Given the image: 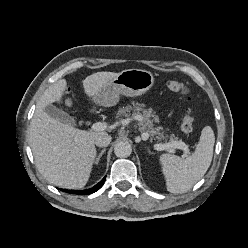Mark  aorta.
Returning <instances> with one entry per match:
<instances>
[{"label":"aorta","instance_id":"1","mask_svg":"<svg viewBox=\"0 0 248 248\" xmlns=\"http://www.w3.org/2000/svg\"><path fill=\"white\" fill-rule=\"evenodd\" d=\"M132 152L131 145L126 141L118 142L114 147V153L117 157H128Z\"/></svg>","mask_w":248,"mask_h":248}]
</instances>
